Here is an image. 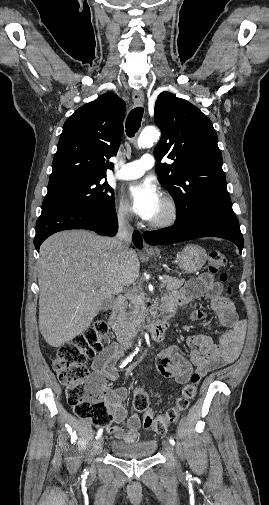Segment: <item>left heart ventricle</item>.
I'll return each mask as SVG.
<instances>
[{
    "instance_id": "obj_1",
    "label": "left heart ventricle",
    "mask_w": 269,
    "mask_h": 505,
    "mask_svg": "<svg viewBox=\"0 0 269 505\" xmlns=\"http://www.w3.org/2000/svg\"><path fill=\"white\" fill-rule=\"evenodd\" d=\"M165 214H166V207H165L163 201H161L157 211L155 212V214L153 215V217L150 220L159 219V218L163 217Z\"/></svg>"
}]
</instances>
